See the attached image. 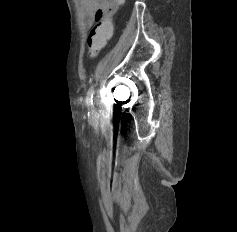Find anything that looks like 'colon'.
I'll return each instance as SVG.
<instances>
[{"label": "colon", "instance_id": "5ec220e1", "mask_svg": "<svg viewBox=\"0 0 237 232\" xmlns=\"http://www.w3.org/2000/svg\"><path fill=\"white\" fill-rule=\"evenodd\" d=\"M123 0H119L122 3ZM113 15L99 21L91 30L87 38L88 53L90 58H95L104 49L113 35Z\"/></svg>", "mask_w": 237, "mask_h": 232}]
</instances>
